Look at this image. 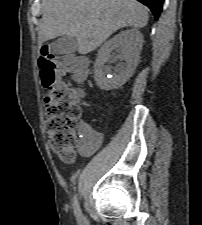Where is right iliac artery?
I'll return each mask as SVG.
<instances>
[{"label": "right iliac artery", "mask_w": 202, "mask_h": 225, "mask_svg": "<svg viewBox=\"0 0 202 225\" xmlns=\"http://www.w3.org/2000/svg\"><path fill=\"white\" fill-rule=\"evenodd\" d=\"M73 208H74V214L76 215L77 219L79 221H82L83 216H82V212H81L78 200H77V195H75L74 199H73Z\"/></svg>", "instance_id": "obj_1"}]
</instances>
